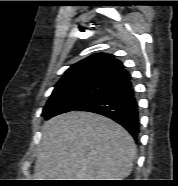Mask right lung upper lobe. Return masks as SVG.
<instances>
[{"label": "right lung upper lobe", "mask_w": 178, "mask_h": 186, "mask_svg": "<svg viewBox=\"0 0 178 186\" xmlns=\"http://www.w3.org/2000/svg\"><path fill=\"white\" fill-rule=\"evenodd\" d=\"M122 63L106 53L93 54L72 65L57 82L54 91L86 84H107L126 79Z\"/></svg>", "instance_id": "1"}]
</instances>
